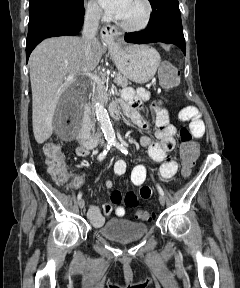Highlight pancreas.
I'll return each instance as SVG.
<instances>
[{"instance_id":"obj_1","label":"pancreas","mask_w":240,"mask_h":288,"mask_svg":"<svg viewBox=\"0 0 240 288\" xmlns=\"http://www.w3.org/2000/svg\"><path fill=\"white\" fill-rule=\"evenodd\" d=\"M115 83L118 86L121 87H127L128 85V80L126 77H124L121 73H115V78H114ZM93 93L98 94V97L104 101L107 102L109 98V93L107 92V89L101 86H96L93 88ZM90 105V104H88Z\"/></svg>"}]
</instances>
